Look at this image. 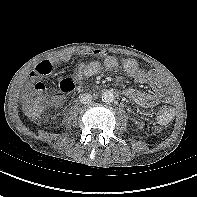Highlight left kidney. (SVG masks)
I'll list each match as a JSON object with an SVG mask.
<instances>
[{
    "instance_id": "obj_1",
    "label": "left kidney",
    "mask_w": 197,
    "mask_h": 197,
    "mask_svg": "<svg viewBox=\"0 0 197 197\" xmlns=\"http://www.w3.org/2000/svg\"><path fill=\"white\" fill-rule=\"evenodd\" d=\"M136 124L139 126V122H136ZM140 127H141V125H140Z\"/></svg>"
}]
</instances>
